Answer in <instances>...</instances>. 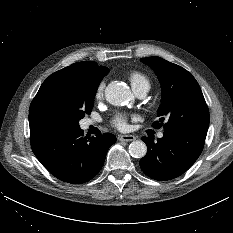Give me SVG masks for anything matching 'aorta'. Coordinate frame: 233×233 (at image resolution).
Segmentation results:
<instances>
[{"label":"aorta","mask_w":233,"mask_h":233,"mask_svg":"<svg viewBox=\"0 0 233 233\" xmlns=\"http://www.w3.org/2000/svg\"><path fill=\"white\" fill-rule=\"evenodd\" d=\"M105 98L110 104L119 106L132 101L133 95L127 86L115 81L106 87ZM129 153L134 158H142L147 153V146L143 141H133L129 145Z\"/></svg>","instance_id":"762f6f07"}]
</instances>
